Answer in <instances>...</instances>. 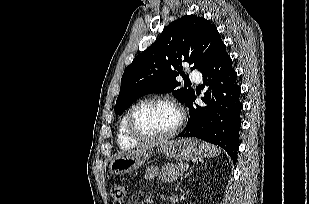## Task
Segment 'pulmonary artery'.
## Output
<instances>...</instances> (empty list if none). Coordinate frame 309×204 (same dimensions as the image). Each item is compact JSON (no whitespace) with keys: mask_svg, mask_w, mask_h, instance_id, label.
I'll use <instances>...</instances> for the list:
<instances>
[{"mask_svg":"<svg viewBox=\"0 0 309 204\" xmlns=\"http://www.w3.org/2000/svg\"><path fill=\"white\" fill-rule=\"evenodd\" d=\"M189 78L192 81L200 82L202 80V75L199 71L194 70L190 73Z\"/></svg>","mask_w":309,"mask_h":204,"instance_id":"pulmonary-artery-1","label":"pulmonary artery"}]
</instances>
